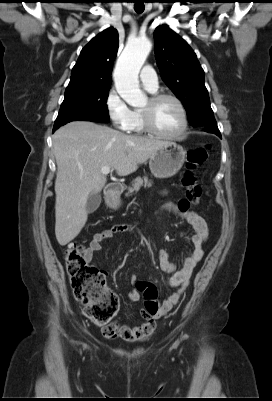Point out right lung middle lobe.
<instances>
[{
    "mask_svg": "<svg viewBox=\"0 0 272 401\" xmlns=\"http://www.w3.org/2000/svg\"><path fill=\"white\" fill-rule=\"evenodd\" d=\"M111 85L65 92V98L54 123V128L76 120L108 122L106 105Z\"/></svg>",
    "mask_w": 272,
    "mask_h": 401,
    "instance_id": "right-lung-middle-lobe-1",
    "label": "right lung middle lobe"
}]
</instances>
